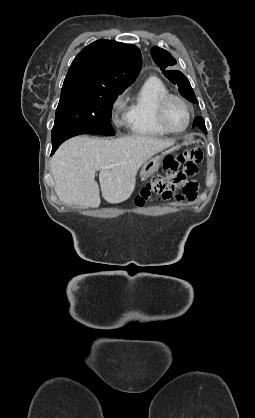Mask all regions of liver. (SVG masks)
<instances>
[{"instance_id":"obj_1","label":"liver","mask_w":255,"mask_h":418,"mask_svg":"<svg viewBox=\"0 0 255 418\" xmlns=\"http://www.w3.org/2000/svg\"><path fill=\"white\" fill-rule=\"evenodd\" d=\"M172 139L130 136L117 139L77 136L64 142L51 161L55 192L65 204L85 208L100 205V190L112 204L127 200L135 189L136 174L152 156L174 145ZM111 165L112 168H106Z\"/></svg>"}]
</instances>
